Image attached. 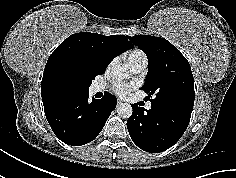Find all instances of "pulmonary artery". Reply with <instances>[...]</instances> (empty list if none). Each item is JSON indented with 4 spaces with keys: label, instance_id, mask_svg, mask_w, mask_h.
I'll return each instance as SVG.
<instances>
[{
    "label": "pulmonary artery",
    "instance_id": "obj_1",
    "mask_svg": "<svg viewBox=\"0 0 236 178\" xmlns=\"http://www.w3.org/2000/svg\"><path fill=\"white\" fill-rule=\"evenodd\" d=\"M146 67H147V62H146V61H143V62H140V63H137V64L131 66V69H132V71H133L134 73H141V72H143V71L146 69ZM102 89H103V87L100 86V85H94V86L92 87V91H93V92H98V91H101ZM146 108H147V109H150V108H151V102H148V103L146 104Z\"/></svg>",
    "mask_w": 236,
    "mask_h": 178
}]
</instances>
